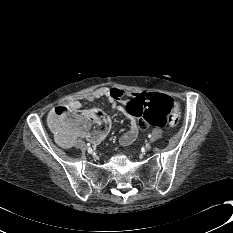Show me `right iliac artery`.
<instances>
[{"label": "right iliac artery", "instance_id": "obj_1", "mask_svg": "<svg viewBox=\"0 0 233 233\" xmlns=\"http://www.w3.org/2000/svg\"><path fill=\"white\" fill-rule=\"evenodd\" d=\"M87 146H90V144L88 143ZM89 149H91V148H89ZM91 150H92V149H91Z\"/></svg>", "mask_w": 233, "mask_h": 233}]
</instances>
